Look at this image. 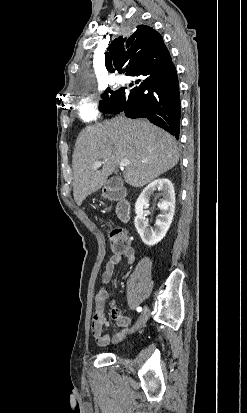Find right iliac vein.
<instances>
[{
    "label": "right iliac vein",
    "mask_w": 247,
    "mask_h": 413,
    "mask_svg": "<svg viewBox=\"0 0 247 413\" xmlns=\"http://www.w3.org/2000/svg\"><path fill=\"white\" fill-rule=\"evenodd\" d=\"M148 312H149L148 308L145 307L140 315V318L135 323V325L132 328L127 330L128 334H132L136 332L137 330H139L140 328L144 327V325L146 324L148 320V314H149Z\"/></svg>",
    "instance_id": "right-iliac-vein-1"
}]
</instances>
